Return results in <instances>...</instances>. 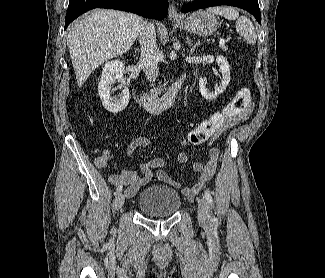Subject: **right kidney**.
<instances>
[{
    "instance_id": "right-kidney-1",
    "label": "right kidney",
    "mask_w": 325,
    "mask_h": 278,
    "mask_svg": "<svg viewBox=\"0 0 325 278\" xmlns=\"http://www.w3.org/2000/svg\"><path fill=\"white\" fill-rule=\"evenodd\" d=\"M124 69V64L119 60L105 63L98 84V93L104 108L114 114L123 111L129 103V89L126 87L122 90L119 99L110 96L111 86L123 80Z\"/></svg>"
}]
</instances>
